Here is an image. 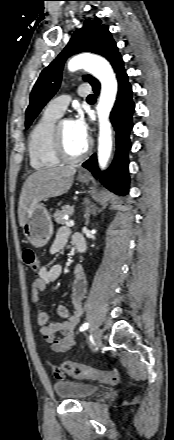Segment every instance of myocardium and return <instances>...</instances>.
Here are the masks:
<instances>
[{
    "label": "myocardium",
    "instance_id": "myocardium-1",
    "mask_svg": "<svg viewBox=\"0 0 174 440\" xmlns=\"http://www.w3.org/2000/svg\"><path fill=\"white\" fill-rule=\"evenodd\" d=\"M60 125L55 127V130H54V151H55V154L63 162L73 163V162H78V161L82 160L89 153L90 148H91V143L89 141H87L84 150L80 154L70 155L66 150Z\"/></svg>",
    "mask_w": 174,
    "mask_h": 440
}]
</instances>
